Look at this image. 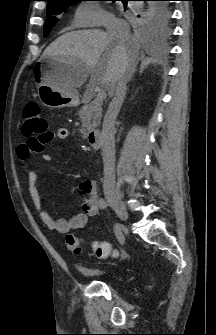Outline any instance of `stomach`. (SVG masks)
Returning a JSON list of instances; mask_svg holds the SVG:
<instances>
[{"mask_svg":"<svg viewBox=\"0 0 216 335\" xmlns=\"http://www.w3.org/2000/svg\"><path fill=\"white\" fill-rule=\"evenodd\" d=\"M73 59L49 57L40 59L33 68L38 82V96L41 103L50 108L74 107L79 104L75 90L66 88L65 75L73 66Z\"/></svg>","mask_w":216,"mask_h":335,"instance_id":"0dacf381","label":"stomach"}]
</instances>
